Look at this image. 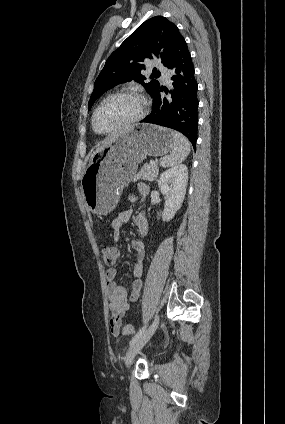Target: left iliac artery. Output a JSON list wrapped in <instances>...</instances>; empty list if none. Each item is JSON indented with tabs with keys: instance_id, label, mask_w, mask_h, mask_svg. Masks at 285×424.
Returning a JSON list of instances; mask_svg holds the SVG:
<instances>
[{
	"instance_id": "44dca946",
	"label": "left iliac artery",
	"mask_w": 285,
	"mask_h": 424,
	"mask_svg": "<svg viewBox=\"0 0 285 424\" xmlns=\"http://www.w3.org/2000/svg\"><path fill=\"white\" fill-rule=\"evenodd\" d=\"M147 325H144L138 332L137 334L132 338V340L130 341V346L133 345L137 339H139L142 334L146 331Z\"/></svg>"
}]
</instances>
